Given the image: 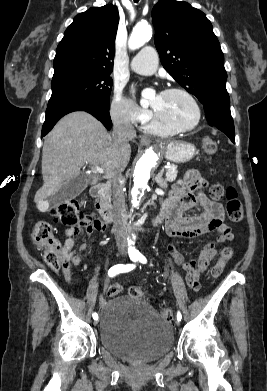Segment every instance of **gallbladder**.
<instances>
[{"label": "gallbladder", "instance_id": "obj_1", "mask_svg": "<svg viewBox=\"0 0 267 391\" xmlns=\"http://www.w3.org/2000/svg\"><path fill=\"white\" fill-rule=\"evenodd\" d=\"M86 187V176L80 174L78 177L63 184L62 187L51 196V200L55 204L70 201L79 196Z\"/></svg>", "mask_w": 267, "mask_h": 391}]
</instances>
